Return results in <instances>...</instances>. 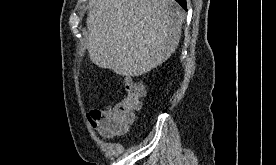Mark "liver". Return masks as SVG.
I'll return each mask as SVG.
<instances>
[{
	"label": "liver",
	"mask_w": 276,
	"mask_h": 165,
	"mask_svg": "<svg viewBox=\"0 0 276 165\" xmlns=\"http://www.w3.org/2000/svg\"><path fill=\"white\" fill-rule=\"evenodd\" d=\"M183 20L184 12L174 0H97L83 35L95 65L139 76L175 52Z\"/></svg>",
	"instance_id": "obj_1"
}]
</instances>
